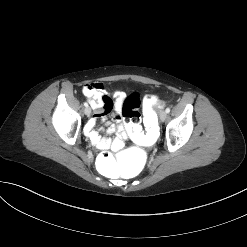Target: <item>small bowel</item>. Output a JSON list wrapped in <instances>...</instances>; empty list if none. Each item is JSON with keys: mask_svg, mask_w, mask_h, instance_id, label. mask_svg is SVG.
<instances>
[{"mask_svg": "<svg viewBox=\"0 0 247 247\" xmlns=\"http://www.w3.org/2000/svg\"><path fill=\"white\" fill-rule=\"evenodd\" d=\"M83 94L89 100L92 108L95 111L93 118L86 124L85 132L87 137L91 140L94 146L102 150L118 151L124 147V141L127 137L128 130L123 125L116 128L113 124L107 123V134L111 135L116 133L114 139H108L96 129L98 120H105L108 114L114 109L112 115L116 121L121 119L122 106L124 101V93L115 91L113 96L115 101H112L107 90L102 83L86 84L82 89Z\"/></svg>", "mask_w": 247, "mask_h": 247, "instance_id": "small-bowel-1", "label": "small bowel"}]
</instances>
